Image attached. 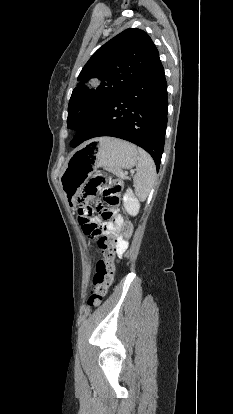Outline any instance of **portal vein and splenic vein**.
<instances>
[{"label":"portal vein and splenic vein","instance_id":"1","mask_svg":"<svg viewBox=\"0 0 233 414\" xmlns=\"http://www.w3.org/2000/svg\"><path fill=\"white\" fill-rule=\"evenodd\" d=\"M130 172L133 174V173H134V170H131ZM122 175H123V176H125V174H124V173H122Z\"/></svg>","mask_w":233,"mask_h":414}]
</instances>
